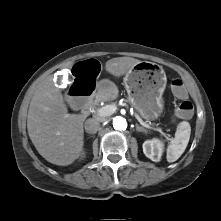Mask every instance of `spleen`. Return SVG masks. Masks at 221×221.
Masks as SVG:
<instances>
[{
  "label": "spleen",
  "mask_w": 221,
  "mask_h": 221,
  "mask_svg": "<svg viewBox=\"0 0 221 221\" xmlns=\"http://www.w3.org/2000/svg\"><path fill=\"white\" fill-rule=\"evenodd\" d=\"M191 134L190 124L183 121L178 124L174 139L167 148V161L175 162L184 153Z\"/></svg>",
  "instance_id": "spleen-1"
}]
</instances>
